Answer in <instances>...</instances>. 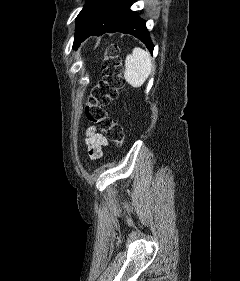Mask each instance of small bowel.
Returning a JSON list of instances; mask_svg holds the SVG:
<instances>
[{"instance_id":"1","label":"small bowel","mask_w":240,"mask_h":281,"mask_svg":"<svg viewBox=\"0 0 240 281\" xmlns=\"http://www.w3.org/2000/svg\"><path fill=\"white\" fill-rule=\"evenodd\" d=\"M85 144L90 159L97 160L101 158L103 148L108 145V140L97 131L96 127L90 126L86 131Z\"/></svg>"}]
</instances>
